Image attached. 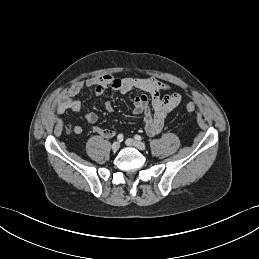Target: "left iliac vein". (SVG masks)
<instances>
[{"label": "left iliac vein", "instance_id": "1", "mask_svg": "<svg viewBox=\"0 0 259 259\" xmlns=\"http://www.w3.org/2000/svg\"><path fill=\"white\" fill-rule=\"evenodd\" d=\"M125 144L127 146H130V147H135L139 150H145V148H146V146L143 142L136 141V140L131 139V138L126 139Z\"/></svg>", "mask_w": 259, "mask_h": 259}]
</instances>
